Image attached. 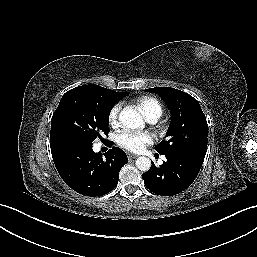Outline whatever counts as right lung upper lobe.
<instances>
[{
    "label": "right lung upper lobe",
    "instance_id": "1",
    "mask_svg": "<svg viewBox=\"0 0 257 257\" xmlns=\"http://www.w3.org/2000/svg\"><path fill=\"white\" fill-rule=\"evenodd\" d=\"M116 93L120 96V99H121L122 97H125V96L128 95V93H122V92H116Z\"/></svg>",
    "mask_w": 257,
    "mask_h": 257
}]
</instances>
